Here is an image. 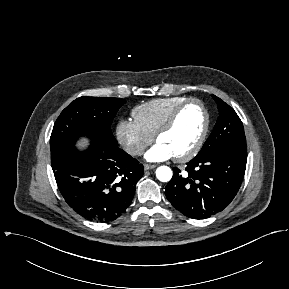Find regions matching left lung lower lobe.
<instances>
[{
    "label": "left lung lower lobe",
    "instance_id": "obj_1",
    "mask_svg": "<svg viewBox=\"0 0 289 289\" xmlns=\"http://www.w3.org/2000/svg\"><path fill=\"white\" fill-rule=\"evenodd\" d=\"M247 148L220 147L187 163V173L174 167L165 195L174 208L192 219H205L224 208L236 196L246 169Z\"/></svg>",
    "mask_w": 289,
    "mask_h": 289
}]
</instances>
